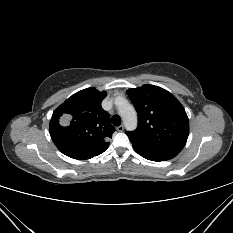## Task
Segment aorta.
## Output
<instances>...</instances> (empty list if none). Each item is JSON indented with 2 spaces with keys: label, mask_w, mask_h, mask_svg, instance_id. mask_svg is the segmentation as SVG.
Returning a JSON list of instances; mask_svg holds the SVG:
<instances>
[{
  "label": "aorta",
  "mask_w": 233,
  "mask_h": 233,
  "mask_svg": "<svg viewBox=\"0 0 233 233\" xmlns=\"http://www.w3.org/2000/svg\"><path fill=\"white\" fill-rule=\"evenodd\" d=\"M115 105L118 107L119 114L127 130H134L137 127V113L134 107L123 97L115 99Z\"/></svg>",
  "instance_id": "1"
}]
</instances>
